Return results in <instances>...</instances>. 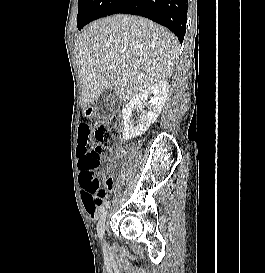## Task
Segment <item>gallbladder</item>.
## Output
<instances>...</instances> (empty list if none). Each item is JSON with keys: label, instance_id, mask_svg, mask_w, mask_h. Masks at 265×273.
I'll list each match as a JSON object with an SVG mask.
<instances>
[{"label": "gallbladder", "instance_id": "1", "mask_svg": "<svg viewBox=\"0 0 265 273\" xmlns=\"http://www.w3.org/2000/svg\"><path fill=\"white\" fill-rule=\"evenodd\" d=\"M120 106V100L117 97L114 88L109 87L99 97L96 105V112L99 116L108 118Z\"/></svg>", "mask_w": 265, "mask_h": 273}]
</instances>
